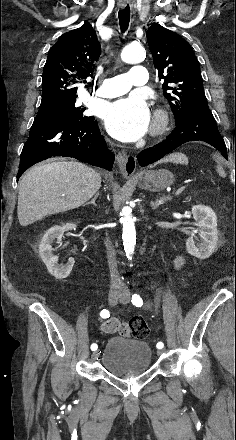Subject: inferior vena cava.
Here are the masks:
<instances>
[{"label":"inferior vena cava","instance_id":"obj_1","mask_svg":"<svg viewBox=\"0 0 236 440\" xmlns=\"http://www.w3.org/2000/svg\"><path fill=\"white\" fill-rule=\"evenodd\" d=\"M105 246H106L107 259L110 270L111 288H120L123 286V282L118 274L116 255L109 238L106 239Z\"/></svg>","mask_w":236,"mask_h":440}]
</instances>
